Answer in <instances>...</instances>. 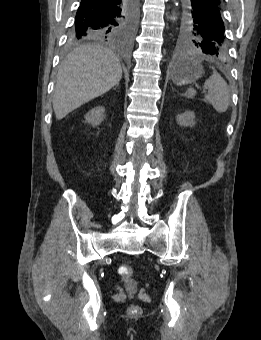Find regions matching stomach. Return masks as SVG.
Instances as JSON below:
<instances>
[{"instance_id": "0dacf381", "label": "stomach", "mask_w": 261, "mask_h": 340, "mask_svg": "<svg viewBox=\"0 0 261 340\" xmlns=\"http://www.w3.org/2000/svg\"><path fill=\"white\" fill-rule=\"evenodd\" d=\"M203 74V67L194 57H187L175 63L170 70V77L176 85L195 82Z\"/></svg>"}]
</instances>
